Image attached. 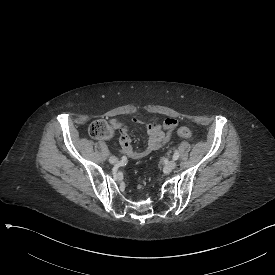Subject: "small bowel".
<instances>
[{
	"label": "small bowel",
	"instance_id": "1",
	"mask_svg": "<svg viewBox=\"0 0 275 275\" xmlns=\"http://www.w3.org/2000/svg\"><path fill=\"white\" fill-rule=\"evenodd\" d=\"M131 122L137 123L138 117L132 116ZM114 124L116 126H121L122 120L120 118H115ZM176 125V120L171 118L163 122V129L159 128V121H153L152 124H148L146 127V144L142 149H135L133 147L131 142L132 135H127L128 130L126 127H119L117 133L121 136L120 143L124 153L132 159H141L163 147L169 140V134L174 130Z\"/></svg>",
	"mask_w": 275,
	"mask_h": 275
}]
</instances>
